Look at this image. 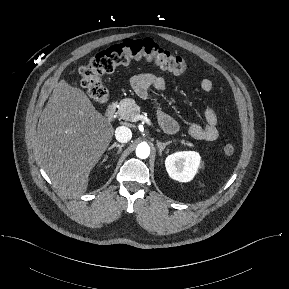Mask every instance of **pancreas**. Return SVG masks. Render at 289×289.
I'll return each mask as SVG.
<instances>
[{"instance_id": "obj_1", "label": "pancreas", "mask_w": 289, "mask_h": 289, "mask_svg": "<svg viewBox=\"0 0 289 289\" xmlns=\"http://www.w3.org/2000/svg\"><path fill=\"white\" fill-rule=\"evenodd\" d=\"M140 112H141L140 107L136 104V102L133 99L125 98L120 101L117 114L123 120L135 121V117L137 115H140ZM181 143L183 145L193 147V144L188 141L182 140Z\"/></svg>"}]
</instances>
